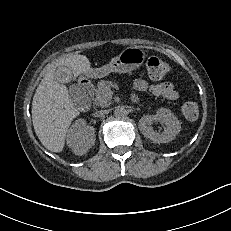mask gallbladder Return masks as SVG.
Segmentation results:
<instances>
[{
    "mask_svg": "<svg viewBox=\"0 0 231 231\" xmlns=\"http://www.w3.org/2000/svg\"><path fill=\"white\" fill-rule=\"evenodd\" d=\"M56 77H57V79L59 81H61L63 83H68L71 80L72 74L68 70L67 67L62 66V67L57 68V70H56ZM69 93L72 96L80 97L83 94V89L80 86L72 85L69 88Z\"/></svg>",
    "mask_w": 231,
    "mask_h": 231,
    "instance_id": "bac80fb5",
    "label": "gallbladder"
}]
</instances>
